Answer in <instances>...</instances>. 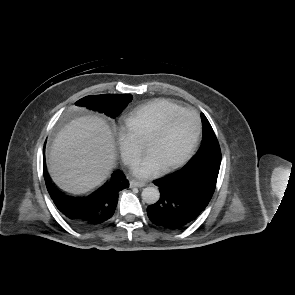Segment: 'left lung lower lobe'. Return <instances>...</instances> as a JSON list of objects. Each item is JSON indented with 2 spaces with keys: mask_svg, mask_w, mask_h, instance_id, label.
<instances>
[{
  "mask_svg": "<svg viewBox=\"0 0 295 295\" xmlns=\"http://www.w3.org/2000/svg\"><path fill=\"white\" fill-rule=\"evenodd\" d=\"M221 156H205L177 173L157 179L160 199L147 208L157 226L184 228L206 208L215 190Z\"/></svg>",
  "mask_w": 295,
  "mask_h": 295,
  "instance_id": "obj_1",
  "label": "left lung lower lobe"
}]
</instances>
